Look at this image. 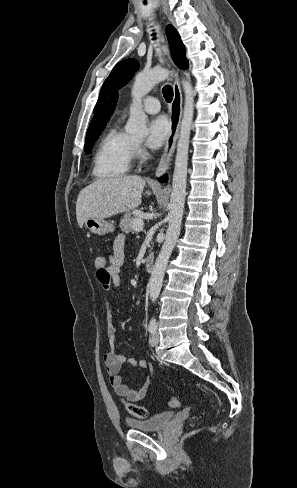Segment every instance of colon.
Instances as JSON below:
<instances>
[{"label":"colon","mask_w":297,"mask_h":488,"mask_svg":"<svg viewBox=\"0 0 297 488\" xmlns=\"http://www.w3.org/2000/svg\"><path fill=\"white\" fill-rule=\"evenodd\" d=\"M106 261L107 258L105 256H97L95 259V266L97 270L103 271L106 266ZM180 403H181L180 399L178 397H174L173 399H171L169 404L171 407L177 408L180 406ZM125 406L128 412L133 416H135L136 418L145 419L148 416V412L146 408L142 406H138L131 403H126Z\"/></svg>","instance_id":"1"}]
</instances>
